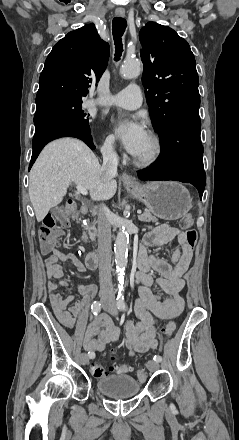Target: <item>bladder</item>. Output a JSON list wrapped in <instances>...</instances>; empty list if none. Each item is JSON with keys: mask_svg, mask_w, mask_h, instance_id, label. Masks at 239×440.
I'll use <instances>...</instances> for the list:
<instances>
[{"mask_svg": "<svg viewBox=\"0 0 239 440\" xmlns=\"http://www.w3.org/2000/svg\"><path fill=\"white\" fill-rule=\"evenodd\" d=\"M96 388L111 398H129L139 393L140 383L130 375H110L97 379Z\"/></svg>", "mask_w": 239, "mask_h": 440, "instance_id": "31cf9c89", "label": "bladder"}]
</instances>
